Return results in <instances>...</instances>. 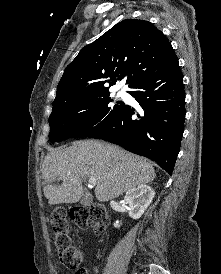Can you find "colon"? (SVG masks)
Masks as SVG:
<instances>
[{
    "label": "colon",
    "mask_w": 221,
    "mask_h": 274,
    "mask_svg": "<svg viewBox=\"0 0 221 274\" xmlns=\"http://www.w3.org/2000/svg\"><path fill=\"white\" fill-rule=\"evenodd\" d=\"M70 218L77 227L93 228L96 233H102L108 222L107 211L101 204L73 208L70 211ZM50 223L61 264L68 269L76 270V274H86L84 269L79 268L82 263V254L77 247L72 245L68 234L67 211L62 207L55 208L51 213Z\"/></svg>",
    "instance_id": "obj_1"
}]
</instances>
